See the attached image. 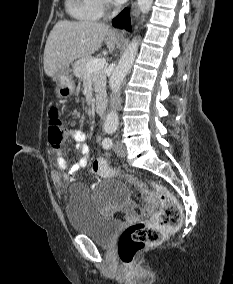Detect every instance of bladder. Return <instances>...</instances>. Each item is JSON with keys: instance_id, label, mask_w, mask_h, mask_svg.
Returning <instances> with one entry per match:
<instances>
[{"instance_id": "1", "label": "bladder", "mask_w": 233, "mask_h": 284, "mask_svg": "<svg viewBox=\"0 0 233 284\" xmlns=\"http://www.w3.org/2000/svg\"><path fill=\"white\" fill-rule=\"evenodd\" d=\"M130 196L128 187L118 180L103 185L98 196L84 185L70 188L66 215L72 230L101 245H109L120 228V221L100 210L101 204L123 203Z\"/></svg>"}]
</instances>
